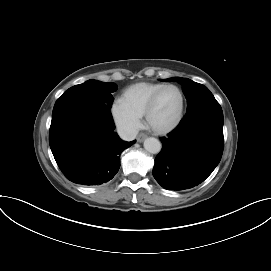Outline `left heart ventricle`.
I'll use <instances>...</instances> for the list:
<instances>
[{"instance_id":"left-heart-ventricle-1","label":"left heart ventricle","mask_w":271,"mask_h":271,"mask_svg":"<svg viewBox=\"0 0 271 271\" xmlns=\"http://www.w3.org/2000/svg\"><path fill=\"white\" fill-rule=\"evenodd\" d=\"M180 102V95L177 90L173 88L165 90L152 112L151 123L158 128L171 124L178 115Z\"/></svg>"}]
</instances>
